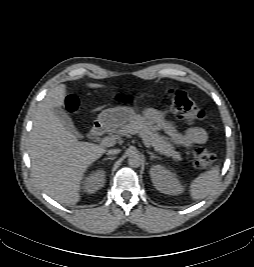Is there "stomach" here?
I'll return each instance as SVG.
<instances>
[{
	"mask_svg": "<svg viewBox=\"0 0 254 267\" xmlns=\"http://www.w3.org/2000/svg\"><path fill=\"white\" fill-rule=\"evenodd\" d=\"M136 116V112L132 107L118 106L103 110L98 115L97 122L104 128L115 130L130 123Z\"/></svg>",
	"mask_w": 254,
	"mask_h": 267,
	"instance_id": "stomach-1",
	"label": "stomach"
}]
</instances>
